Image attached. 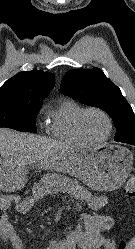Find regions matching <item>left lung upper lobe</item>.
Returning a JSON list of instances; mask_svg holds the SVG:
<instances>
[{"label":"left lung upper lobe","instance_id":"5c2ea615","mask_svg":"<svg viewBox=\"0 0 135 249\" xmlns=\"http://www.w3.org/2000/svg\"><path fill=\"white\" fill-rule=\"evenodd\" d=\"M60 91L82 103L101 108L116 126L115 141L135 143V115L120 89L97 67L72 69L63 77Z\"/></svg>","mask_w":135,"mask_h":249}]
</instances>
